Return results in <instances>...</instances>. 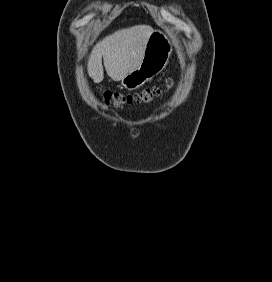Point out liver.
Wrapping results in <instances>:
<instances>
[{
    "label": "liver",
    "mask_w": 272,
    "mask_h": 282,
    "mask_svg": "<svg viewBox=\"0 0 272 282\" xmlns=\"http://www.w3.org/2000/svg\"><path fill=\"white\" fill-rule=\"evenodd\" d=\"M152 30L148 25H136L103 38L94 46L89 56V76L95 83L103 80V58L108 76L114 81L122 80L140 65Z\"/></svg>",
    "instance_id": "6515ba94"
}]
</instances>
